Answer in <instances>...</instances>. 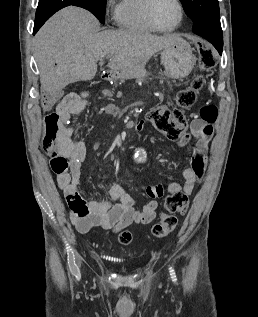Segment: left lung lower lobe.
Instances as JSON below:
<instances>
[{
  "label": "left lung lower lobe",
  "instance_id": "left-lung-lower-lobe-1",
  "mask_svg": "<svg viewBox=\"0 0 258 317\" xmlns=\"http://www.w3.org/2000/svg\"><path fill=\"white\" fill-rule=\"evenodd\" d=\"M193 32L213 44V46L218 50L220 55L222 54L223 50V36H222V29L206 26V27H198L193 28Z\"/></svg>",
  "mask_w": 258,
  "mask_h": 317
}]
</instances>
